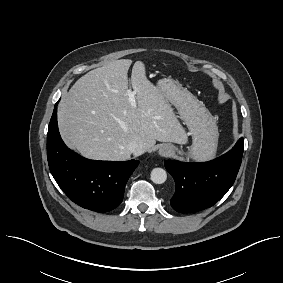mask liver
Returning <instances> with one entry per match:
<instances>
[{
	"mask_svg": "<svg viewBox=\"0 0 283 283\" xmlns=\"http://www.w3.org/2000/svg\"><path fill=\"white\" fill-rule=\"evenodd\" d=\"M131 63L115 60L91 70L60 100V134L86 158L129 160L128 144L132 141L145 151L156 141L187 143L185 129L158 87L147 79L142 61H136L132 68L136 107L131 106L127 95Z\"/></svg>",
	"mask_w": 283,
	"mask_h": 283,
	"instance_id": "6515ba94",
	"label": "liver"
}]
</instances>
